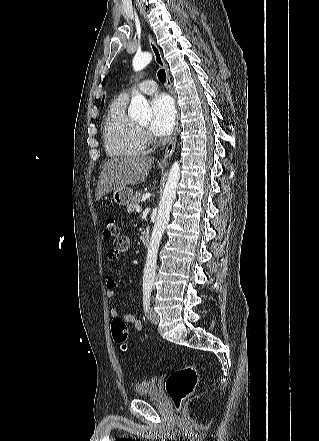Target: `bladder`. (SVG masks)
<instances>
[{
	"instance_id": "31cf9c89",
	"label": "bladder",
	"mask_w": 319,
	"mask_h": 441,
	"mask_svg": "<svg viewBox=\"0 0 319 441\" xmlns=\"http://www.w3.org/2000/svg\"><path fill=\"white\" fill-rule=\"evenodd\" d=\"M134 394L136 397H154L158 394V382L156 377L143 380L134 386Z\"/></svg>"
}]
</instances>
